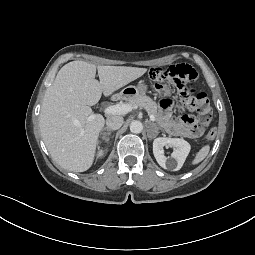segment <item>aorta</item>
Segmentation results:
<instances>
[{
  "label": "aorta",
  "instance_id": "1",
  "mask_svg": "<svg viewBox=\"0 0 255 255\" xmlns=\"http://www.w3.org/2000/svg\"><path fill=\"white\" fill-rule=\"evenodd\" d=\"M143 130V125L140 121H132L130 124V131L132 133L138 134L141 133V131Z\"/></svg>",
  "mask_w": 255,
  "mask_h": 255
}]
</instances>
